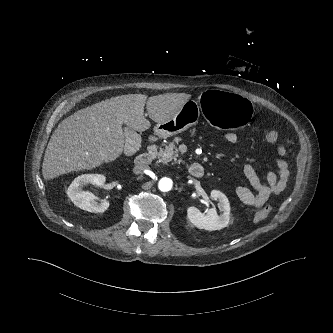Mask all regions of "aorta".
Segmentation results:
<instances>
[{
  "mask_svg": "<svg viewBox=\"0 0 333 333\" xmlns=\"http://www.w3.org/2000/svg\"><path fill=\"white\" fill-rule=\"evenodd\" d=\"M173 187V181L168 177H163L158 182V188L162 192H168Z\"/></svg>",
  "mask_w": 333,
  "mask_h": 333,
  "instance_id": "aorta-1",
  "label": "aorta"
}]
</instances>
